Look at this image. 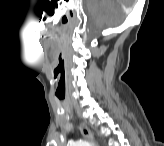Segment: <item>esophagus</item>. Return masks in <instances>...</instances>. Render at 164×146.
<instances>
[{"mask_svg": "<svg viewBox=\"0 0 164 146\" xmlns=\"http://www.w3.org/2000/svg\"><path fill=\"white\" fill-rule=\"evenodd\" d=\"M79 128H80L81 133L86 139H88L91 142L94 141V136L91 130L87 127L85 123H80Z\"/></svg>", "mask_w": 164, "mask_h": 146, "instance_id": "1", "label": "esophagus"}]
</instances>
